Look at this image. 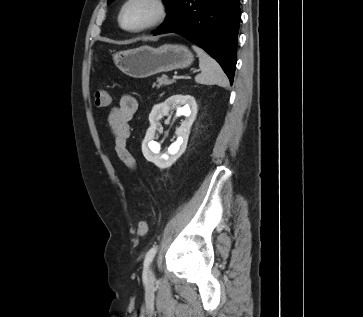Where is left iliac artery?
<instances>
[{"label":"left iliac artery","mask_w":363,"mask_h":317,"mask_svg":"<svg viewBox=\"0 0 363 317\" xmlns=\"http://www.w3.org/2000/svg\"><path fill=\"white\" fill-rule=\"evenodd\" d=\"M156 253H157V246H153L148 252H147V254H146V257H145V264L146 265H149L152 261H153V259H154V257H155V255H156Z\"/></svg>","instance_id":"1"}]
</instances>
